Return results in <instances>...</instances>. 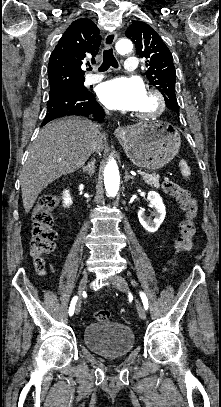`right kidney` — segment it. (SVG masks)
<instances>
[{
    "label": "right kidney",
    "instance_id": "right-kidney-1",
    "mask_svg": "<svg viewBox=\"0 0 221 407\" xmlns=\"http://www.w3.org/2000/svg\"><path fill=\"white\" fill-rule=\"evenodd\" d=\"M63 200H64L63 203H64L65 207H69L73 203L71 196L69 194V190H65L63 192Z\"/></svg>",
    "mask_w": 221,
    "mask_h": 407
}]
</instances>
